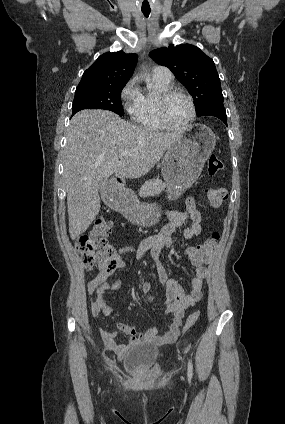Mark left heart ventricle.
<instances>
[{
    "label": "left heart ventricle",
    "mask_w": 285,
    "mask_h": 424,
    "mask_svg": "<svg viewBox=\"0 0 285 424\" xmlns=\"http://www.w3.org/2000/svg\"><path fill=\"white\" fill-rule=\"evenodd\" d=\"M168 121L173 125L183 124L190 115V105L187 99L177 95L168 100L165 107Z\"/></svg>",
    "instance_id": "1"
}]
</instances>
